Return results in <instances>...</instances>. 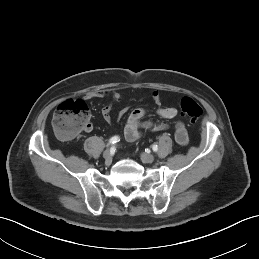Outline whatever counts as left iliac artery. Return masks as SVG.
Instances as JSON below:
<instances>
[{"mask_svg": "<svg viewBox=\"0 0 259 259\" xmlns=\"http://www.w3.org/2000/svg\"><path fill=\"white\" fill-rule=\"evenodd\" d=\"M152 149H153V151H157L158 150V146L156 145V144H154L153 146H152Z\"/></svg>", "mask_w": 259, "mask_h": 259, "instance_id": "left-iliac-artery-1", "label": "left iliac artery"}]
</instances>
